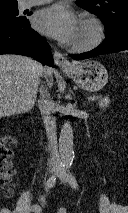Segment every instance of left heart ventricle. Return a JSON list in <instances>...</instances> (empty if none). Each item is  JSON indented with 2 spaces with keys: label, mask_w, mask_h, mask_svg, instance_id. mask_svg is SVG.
Wrapping results in <instances>:
<instances>
[{
  "label": "left heart ventricle",
  "mask_w": 128,
  "mask_h": 213,
  "mask_svg": "<svg viewBox=\"0 0 128 213\" xmlns=\"http://www.w3.org/2000/svg\"><path fill=\"white\" fill-rule=\"evenodd\" d=\"M92 35H93L92 28L89 25L80 22L79 28L73 43L75 44L84 43L88 41L92 37Z\"/></svg>",
  "instance_id": "obj_1"
}]
</instances>
